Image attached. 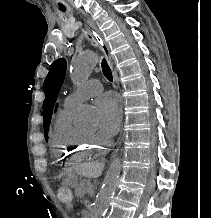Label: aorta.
Returning <instances> with one entry per match:
<instances>
[{"instance_id": "1", "label": "aorta", "mask_w": 211, "mask_h": 218, "mask_svg": "<svg viewBox=\"0 0 211 218\" xmlns=\"http://www.w3.org/2000/svg\"><path fill=\"white\" fill-rule=\"evenodd\" d=\"M98 61L99 58L97 54L91 51L76 56L72 60L70 70L72 81L77 85L85 82L89 78ZM76 124L77 127L83 131H93L98 127V116L90 106L83 105L79 109ZM120 172L121 159L117 157L111 162L102 188L92 205L90 211L91 218H102L105 214L112 196L116 191Z\"/></svg>"}]
</instances>
